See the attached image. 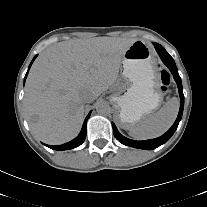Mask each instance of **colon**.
<instances>
[{
  "mask_svg": "<svg viewBox=\"0 0 207 207\" xmlns=\"http://www.w3.org/2000/svg\"><path fill=\"white\" fill-rule=\"evenodd\" d=\"M170 85V76L166 71H161L159 86L162 91H166Z\"/></svg>",
  "mask_w": 207,
  "mask_h": 207,
  "instance_id": "obj_1",
  "label": "colon"
}]
</instances>
